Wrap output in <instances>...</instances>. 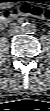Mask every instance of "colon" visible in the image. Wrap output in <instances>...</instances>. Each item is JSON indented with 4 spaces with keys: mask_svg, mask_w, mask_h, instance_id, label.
Here are the masks:
<instances>
[{
    "mask_svg": "<svg viewBox=\"0 0 50 111\" xmlns=\"http://www.w3.org/2000/svg\"><path fill=\"white\" fill-rule=\"evenodd\" d=\"M26 15L48 18L49 12L47 10H43L42 8L34 7L31 5H24L22 7L15 8L12 11L5 13L4 19H8L14 16H26Z\"/></svg>",
    "mask_w": 50,
    "mask_h": 111,
    "instance_id": "obj_1",
    "label": "colon"
}]
</instances>
